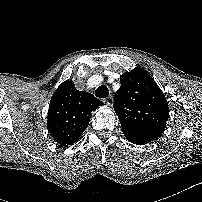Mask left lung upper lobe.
Masks as SVG:
<instances>
[{"mask_svg":"<svg viewBox=\"0 0 202 202\" xmlns=\"http://www.w3.org/2000/svg\"><path fill=\"white\" fill-rule=\"evenodd\" d=\"M120 83L114 109L124 135L147 141L157 140L164 132L169 117L168 102L163 92L141 67L123 74Z\"/></svg>","mask_w":202,"mask_h":202,"instance_id":"1","label":"left lung upper lobe"}]
</instances>
